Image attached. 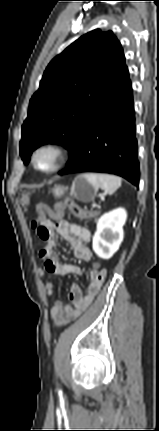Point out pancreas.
<instances>
[{
  "instance_id": "cf45deb5",
  "label": "pancreas",
  "mask_w": 159,
  "mask_h": 431,
  "mask_svg": "<svg viewBox=\"0 0 159 431\" xmlns=\"http://www.w3.org/2000/svg\"><path fill=\"white\" fill-rule=\"evenodd\" d=\"M98 215V212H89L87 215H85L86 218H93L96 217Z\"/></svg>"
}]
</instances>
